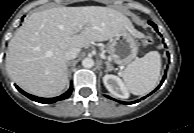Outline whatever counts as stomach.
Listing matches in <instances>:
<instances>
[{
    "mask_svg": "<svg viewBox=\"0 0 194 133\" xmlns=\"http://www.w3.org/2000/svg\"><path fill=\"white\" fill-rule=\"evenodd\" d=\"M106 51L110 62L118 65L129 64L138 52L134 33L130 30L120 32L110 40Z\"/></svg>",
    "mask_w": 194,
    "mask_h": 133,
    "instance_id": "0dacf381",
    "label": "stomach"
}]
</instances>
